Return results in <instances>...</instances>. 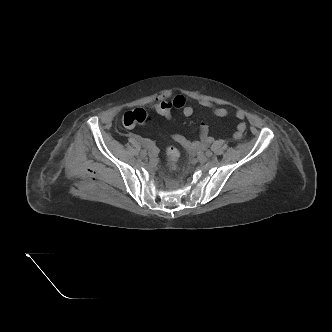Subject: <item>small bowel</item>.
<instances>
[{
	"label": "small bowel",
	"mask_w": 332,
	"mask_h": 332,
	"mask_svg": "<svg viewBox=\"0 0 332 332\" xmlns=\"http://www.w3.org/2000/svg\"><path fill=\"white\" fill-rule=\"evenodd\" d=\"M198 104L204 108L209 109L212 114L217 117H226L230 113L228 109L215 106L208 100L201 99L198 101ZM153 109L157 114L164 117H166V113L172 112L173 109L181 110L184 117H191L194 113L193 107L187 103V98L182 94H178L173 97L170 94H165L163 98L154 105ZM234 115L238 120H240V122L237 124L233 137L235 139H241L247 127L246 123L243 121L245 118V113L243 111H236ZM199 134L200 141H190L185 136L178 133L174 134L172 138L176 143L187 149L202 148L212 142L213 138L209 135V127L205 122L200 124ZM150 145L151 149H153V152H155L156 150L154 146L152 144Z\"/></svg>",
	"instance_id": "c3829d8e"
}]
</instances>
